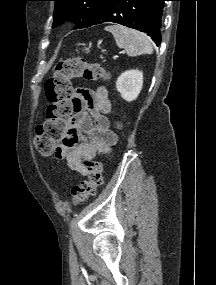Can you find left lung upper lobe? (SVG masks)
Masks as SVG:
<instances>
[{"instance_id": "obj_1", "label": "left lung upper lobe", "mask_w": 216, "mask_h": 285, "mask_svg": "<svg viewBox=\"0 0 216 285\" xmlns=\"http://www.w3.org/2000/svg\"><path fill=\"white\" fill-rule=\"evenodd\" d=\"M55 10L52 27L65 21L76 23L74 29L93 25L112 0H53Z\"/></svg>"}]
</instances>
